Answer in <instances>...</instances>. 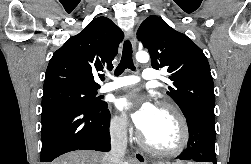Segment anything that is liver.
<instances>
[{
  "label": "liver",
  "mask_w": 251,
  "mask_h": 164,
  "mask_svg": "<svg viewBox=\"0 0 251 164\" xmlns=\"http://www.w3.org/2000/svg\"><path fill=\"white\" fill-rule=\"evenodd\" d=\"M109 156L108 153L103 154L96 151H74L59 157L52 164H110ZM181 163L183 162L177 161L172 164ZM124 164L129 163L124 162Z\"/></svg>",
  "instance_id": "1"
}]
</instances>
